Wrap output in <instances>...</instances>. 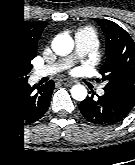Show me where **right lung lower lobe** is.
Here are the masks:
<instances>
[{"mask_svg":"<svg viewBox=\"0 0 135 165\" xmlns=\"http://www.w3.org/2000/svg\"><path fill=\"white\" fill-rule=\"evenodd\" d=\"M53 81L30 86L27 81H0V122L24 125L39 120L47 111Z\"/></svg>","mask_w":135,"mask_h":165,"instance_id":"obj_1","label":"right lung lower lobe"}]
</instances>
